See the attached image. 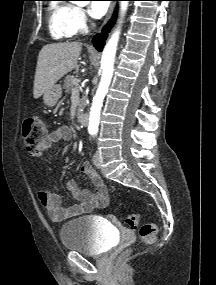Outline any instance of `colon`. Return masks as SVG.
<instances>
[{"instance_id":"colon-1","label":"colon","mask_w":216,"mask_h":285,"mask_svg":"<svg viewBox=\"0 0 216 285\" xmlns=\"http://www.w3.org/2000/svg\"><path fill=\"white\" fill-rule=\"evenodd\" d=\"M22 136L26 149L30 155L39 156L48 136V126L38 117L27 118L22 127ZM125 223L130 228H136L139 223V216L131 213L127 216ZM157 225L155 223L143 224L139 229L140 241L142 244H151L157 235Z\"/></svg>"}]
</instances>
